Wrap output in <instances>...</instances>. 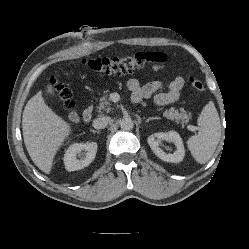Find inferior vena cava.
<instances>
[{
    "label": "inferior vena cava",
    "mask_w": 249,
    "mask_h": 249,
    "mask_svg": "<svg viewBox=\"0 0 249 249\" xmlns=\"http://www.w3.org/2000/svg\"><path fill=\"white\" fill-rule=\"evenodd\" d=\"M109 121H110V117L103 116V117L94 119L92 125L95 129H104L108 125Z\"/></svg>",
    "instance_id": "obj_1"
}]
</instances>
